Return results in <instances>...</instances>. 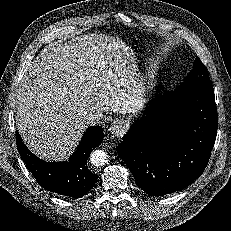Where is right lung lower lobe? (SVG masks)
<instances>
[{"label":"right lung lower lobe","instance_id":"obj_1","mask_svg":"<svg viewBox=\"0 0 231 231\" xmlns=\"http://www.w3.org/2000/svg\"><path fill=\"white\" fill-rule=\"evenodd\" d=\"M102 140V127H90L69 161L50 163L31 153L16 132L19 154L38 184L45 190L74 198L85 195L97 181L98 175L88 169L87 159Z\"/></svg>","mask_w":231,"mask_h":231}]
</instances>
